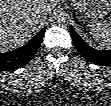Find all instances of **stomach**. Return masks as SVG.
<instances>
[{"instance_id":"obj_1","label":"stomach","mask_w":111,"mask_h":106,"mask_svg":"<svg viewBox=\"0 0 111 106\" xmlns=\"http://www.w3.org/2000/svg\"><path fill=\"white\" fill-rule=\"evenodd\" d=\"M73 5L85 19H101L111 11V0H75Z\"/></svg>"}]
</instances>
